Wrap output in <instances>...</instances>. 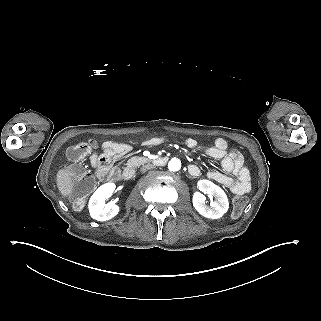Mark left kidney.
<instances>
[{"mask_svg": "<svg viewBox=\"0 0 321 321\" xmlns=\"http://www.w3.org/2000/svg\"><path fill=\"white\" fill-rule=\"evenodd\" d=\"M197 186L203 193L214 196L216 201L211 202V207H208L205 205V195L195 193L192 201L195 210L206 218H221L229 209V201L224 190L206 179L199 180Z\"/></svg>", "mask_w": 321, "mask_h": 321, "instance_id": "1", "label": "left kidney"}]
</instances>
